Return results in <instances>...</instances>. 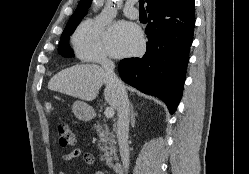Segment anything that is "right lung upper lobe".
Here are the masks:
<instances>
[{"label":"right lung upper lobe","mask_w":249,"mask_h":174,"mask_svg":"<svg viewBox=\"0 0 249 174\" xmlns=\"http://www.w3.org/2000/svg\"><path fill=\"white\" fill-rule=\"evenodd\" d=\"M147 2V12H150L153 9H156L162 5L172 4L179 0H145ZM91 0H80L78 6L69 19L68 23L70 22H77L81 21V19L86 15L88 12V8L90 7Z\"/></svg>","instance_id":"right-lung-upper-lobe-1"}]
</instances>
